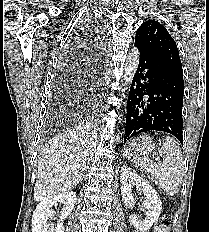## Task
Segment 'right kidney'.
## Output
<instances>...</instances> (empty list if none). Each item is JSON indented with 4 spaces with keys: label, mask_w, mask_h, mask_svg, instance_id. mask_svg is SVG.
Masks as SVG:
<instances>
[{
    "label": "right kidney",
    "mask_w": 209,
    "mask_h": 232,
    "mask_svg": "<svg viewBox=\"0 0 209 232\" xmlns=\"http://www.w3.org/2000/svg\"><path fill=\"white\" fill-rule=\"evenodd\" d=\"M76 194L73 191H65L43 199L36 207L32 216V232H64L63 221L69 216L76 203ZM58 203L63 204V210L57 225L48 223L53 218L54 211L51 209Z\"/></svg>",
    "instance_id": "obj_1"
}]
</instances>
